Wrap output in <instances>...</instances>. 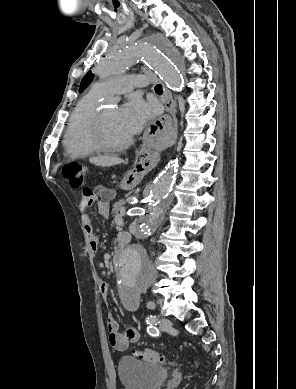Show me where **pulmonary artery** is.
Here are the masks:
<instances>
[{"mask_svg": "<svg viewBox=\"0 0 296 389\" xmlns=\"http://www.w3.org/2000/svg\"><path fill=\"white\" fill-rule=\"evenodd\" d=\"M146 78L142 75H130L97 82L92 85L91 92L98 96L124 94L134 88L145 86Z\"/></svg>", "mask_w": 296, "mask_h": 389, "instance_id": "e3ab8cb5", "label": "pulmonary artery"}]
</instances>
